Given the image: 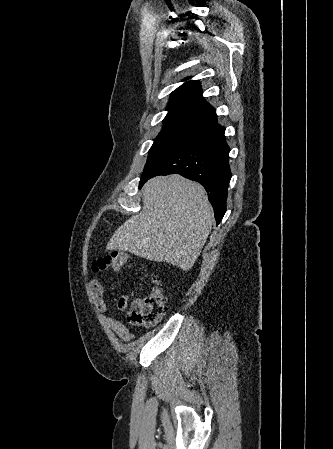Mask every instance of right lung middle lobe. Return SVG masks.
Returning <instances> with one entry per match:
<instances>
[{"mask_svg":"<svg viewBox=\"0 0 333 449\" xmlns=\"http://www.w3.org/2000/svg\"><path fill=\"white\" fill-rule=\"evenodd\" d=\"M201 131L199 128L185 126L163 127L148 152L149 155L142 177L175 149Z\"/></svg>","mask_w":333,"mask_h":449,"instance_id":"dd1d6c3e","label":"right lung middle lobe"}]
</instances>
